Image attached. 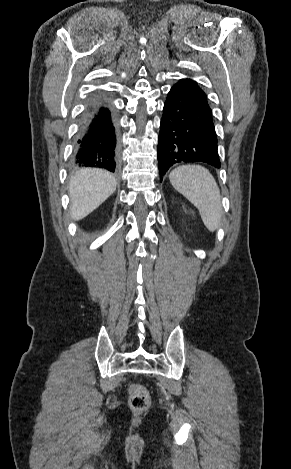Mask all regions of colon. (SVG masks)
Here are the masks:
<instances>
[{
    "mask_svg": "<svg viewBox=\"0 0 291 469\" xmlns=\"http://www.w3.org/2000/svg\"><path fill=\"white\" fill-rule=\"evenodd\" d=\"M129 405L133 410L143 411L150 404L148 390L140 384H132L128 388Z\"/></svg>",
    "mask_w": 291,
    "mask_h": 469,
    "instance_id": "colon-1",
    "label": "colon"
}]
</instances>
